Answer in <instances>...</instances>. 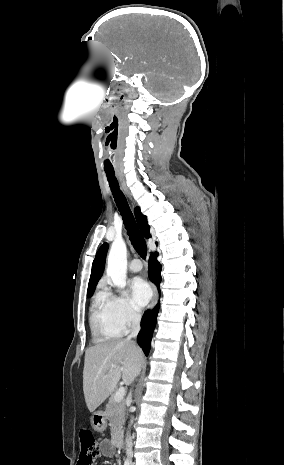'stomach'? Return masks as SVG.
<instances>
[{
  "label": "stomach",
  "mask_w": 284,
  "mask_h": 465,
  "mask_svg": "<svg viewBox=\"0 0 284 465\" xmlns=\"http://www.w3.org/2000/svg\"><path fill=\"white\" fill-rule=\"evenodd\" d=\"M90 423L94 431H97V433H103L107 427V419L104 415V411H96V413H93Z\"/></svg>",
  "instance_id": "1"
}]
</instances>
